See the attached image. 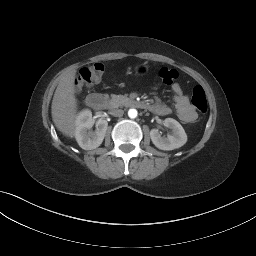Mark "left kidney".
I'll return each instance as SVG.
<instances>
[{
    "label": "left kidney",
    "instance_id": "left-kidney-1",
    "mask_svg": "<svg viewBox=\"0 0 256 256\" xmlns=\"http://www.w3.org/2000/svg\"><path fill=\"white\" fill-rule=\"evenodd\" d=\"M164 126L171 129V134L162 137L157 129L150 131L153 144L161 150H174L187 142V135L181 124L173 118H166Z\"/></svg>",
    "mask_w": 256,
    "mask_h": 256
}]
</instances>
